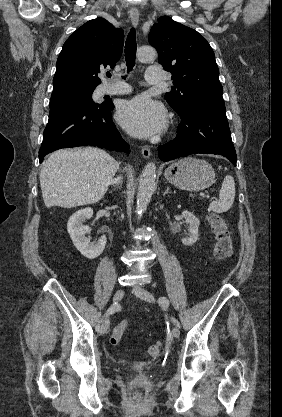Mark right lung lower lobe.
I'll list each match as a JSON object with an SVG mask.
<instances>
[{
    "instance_id": "obj_1",
    "label": "right lung lower lobe",
    "mask_w": 282,
    "mask_h": 417,
    "mask_svg": "<svg viewBox=\"0 0 282 417\" xmlns=\"http://www.w3.org/2000/svg\"><path fill=\"white\" fill-rule=\"evenodd\" d=\"M113 108L112 102L96 104L85 101L50 108L39 150L40 163L48 153L68 147L91 145L129 152V145L122 139L112 121Z\"/></svg>"
}]
</instances>
